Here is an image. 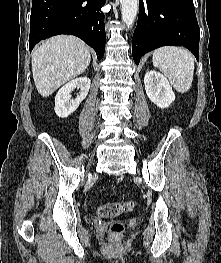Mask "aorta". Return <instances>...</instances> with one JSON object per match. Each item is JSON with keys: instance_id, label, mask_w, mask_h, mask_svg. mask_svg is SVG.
Returning <instances> with one entry per match:
<instances>
[{"instance_id": "762f6f07", "label": "aorta", "mask_w": 221, "mask_h": 263, "mask_svg": "<svg viewBox=\"0 0 221 263\" xmlns=\"http://www.w3.org/2000/svg\"><path fill=\"white\" fill-rule=\"evenodd\" d=\"M138 1L139 0H120L122 6V21L128 28L132 27L135 22L138 12Z\"/></svg>"}]
</instances>
